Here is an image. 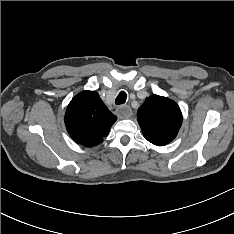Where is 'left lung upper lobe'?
I'll list each match as a JSON object with an SVG mask.
<instances>
[{
    "mask_svg": "<svg viewBox=\"0 0 234 234\" xmlns=\"http://www.w3.org/2000/svg\"><path fill=\"white\" fill-rule=\"evenodd\" d=\"M137 118L143 136L158 146L171 142L182 124L179 106L173 100L158 95L145 99L138 109Z\"/></svg>",
    "mask_w": 234,
    "mask_h": 234,
    "instance_id": "obj_1",
    "label": "left lung upper lobe"
}]
</instances>
